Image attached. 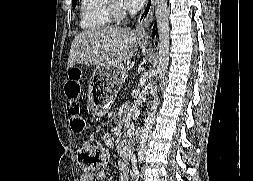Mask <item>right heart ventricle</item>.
I'll return each instance as SVG.
<instances>
[{"label": "right heart ventricle", "instance_id": "1", "mask_svg": "<svg viewBox=\"0 0 253 181\" xmlns=\"http://www.w3.org/2000/svg\"><path fill=\"white\" fill-rule=\"evenodd\" d=\"M111 22L106 0H80L79 23L82 29L94 30Z\"/></svg>", "mask_w": 253, "mask_h": 181}]
</instances>
